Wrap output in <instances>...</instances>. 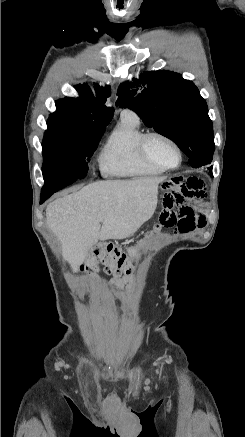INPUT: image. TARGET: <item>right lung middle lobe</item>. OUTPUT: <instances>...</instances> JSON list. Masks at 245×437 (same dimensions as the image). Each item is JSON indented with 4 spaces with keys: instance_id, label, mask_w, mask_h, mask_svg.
I'll return each instance as SVG.
<instances>
[{
    "instance_id": "obj_1",
    "label": "right lung middle lobe",
    "mask_w": 245,
    "mask_h": 437,
    "mask_svg": "<svg viewBox=\"0 0 245 437\" xmlns=\"http://www.w3.org/2000/svg\"><path fill=\"white\" fill-rule=\"evenodd\" d=\"M106 126L80 123L59 114L50 115L42 142L45 181L82 179L88 172L89 157L94 153Z\"/></svg>"
}]
</instances>
